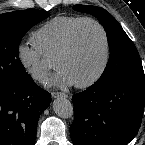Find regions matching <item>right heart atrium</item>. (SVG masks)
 <instances>
[{
	"label": "right heart atrium",
	"mask_w": 145,
	"mask_h": 145,
	"mask_svg": "<svg viewBox=\"0 0 145 145\" xmlns=\"http://www.w3.org/2000/svg\"><path fill=\"white\" fill-rule=\"evenodd\" d=\"M17 59L24 71L35 81L44 82L53 65L32 43H21L17 47Z\"/></svg>",
	"instance_id": "1"
}]
</instances>
